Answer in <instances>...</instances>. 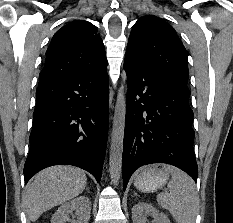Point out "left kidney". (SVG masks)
Listing matches in <instances>:
<instances>
[{
	"label": "left kidney",
	"mask_w": 233,
	"mask_h": 223,
	"mask_svg": "<svg viewBox=\"0 0 233 223\" xmlns=\"http://www.w3.org/2000/svg\"><path fill=\"white\" fill-rule=\"evenodd\" d=\"M147 217H154L155 223H170L165 213H161L159 209L153 207L152 203H146V201H139L132 207V219L133 223H146Z\"/></svg>",
	"instance_id": "obj_1"
}]
</instances>
